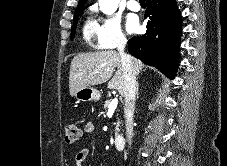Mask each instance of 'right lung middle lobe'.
Listing matches in <instances>:
<instances>
[{
  "label": "right lung middle lobe",
  "mask_w": 227,
  "mask_h": 166,
  "mask_svg": "<svg viewBox=\"0 0 227 166\" xmlns=\"http://www.w3.org/2000/svg\"><path fill=\"white\" fill-rule=\"evenodd\" d=\"M81 8L82 7H80V8L77 7L76 12L74 14V21H73V25H72V29H71V40L74 39V36H75L76 25H77V22H78V14L81 11Z\"/></svg>",
  "instance_id": "1"
}]
</instances>
